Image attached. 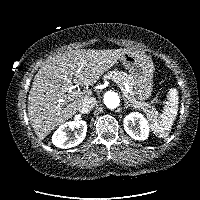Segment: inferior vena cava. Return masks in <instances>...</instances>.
<instances>
[{
  "label": "inferior vena cava",
  "instance_id": "obj_1",
  "mask_svg": "<svg viewBox=\"0 0 200 200\" xmlns=\"http://www.w3.org/2000/svg\"><path fill=\"white\" fill-rule=\"evenodd\" d=\"M96 99L94 97L84 98L78 110L82 114L89 113L95 106Z\"/></svg>",
  "mask_w": 200,
  "mask_h": 200
}]
</instances>
